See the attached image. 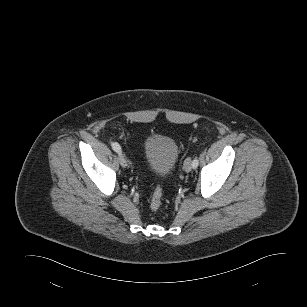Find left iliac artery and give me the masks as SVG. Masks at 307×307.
Listing matches in <instances>:
<instances>
[{
    "label": "left iliac artery",
    "instance_id": "left-iliac-artery-1",
    "mask_svg": "<svg viewBox=\"0 0 307 307\" xmlns=\"http://www.w3.org/2000/svg\"><path fill=\"white\" fill-rule=\"evenodd\" d=\"M198 164H199V162H198V158L197 157H195L194 159H193V161H192V168H197L198 167Z\"/></svg>",
    "mask_w": 307,
    "mask_h": 307
}]
</instances>
